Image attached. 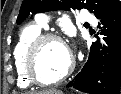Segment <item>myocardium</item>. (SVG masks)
Here are the masks:
<instances>
[{"label": "myocardium", "instance_id": "obj_1", "mask_svg": "<svg viewBox=\"0 0 121 94\" xmlns=\"http://www.w3.org/2000/svg\"><path fill=\"white\" fill-rule=\"evenodd\" d=\"M48 41H57L63 44L68 49L66 43L59 35L54 33H42L30 42L24 56V70H25L26 76L28 77L29 81L32 84L40 87H51V86L60 84L72 74L75 68L74 56L71 53V51L68 49L70 53V62L67 68L65 69V71L54 80H51V81L42 80L36 71L35 62H36V56H37L38 50L45 42H48Z\"/></svg>", "mask_w": 121, "mask_h": 94}]
</instances>
